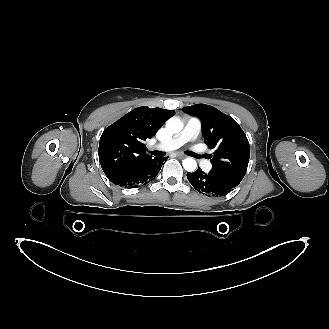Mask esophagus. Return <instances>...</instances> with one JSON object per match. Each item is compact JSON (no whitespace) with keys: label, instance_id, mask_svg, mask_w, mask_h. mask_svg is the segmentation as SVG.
I'll return each instance as SVG.
<instances>
[{"label":"esophagus","instance_id":"34e87169","mask_svg":"<svg viewBox=\"0 0 329 329\" xmlns=\"http://www.w3.org/2000/svg\"><path fill=\"white\" fill-rule=\"evenodd\" d=\"M177 157L180 158V159H184L185 158V155L178 154Z\"/></svg>","mask_w":329,"mask_h":329}]
</instances>
